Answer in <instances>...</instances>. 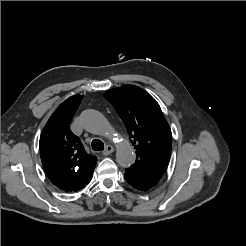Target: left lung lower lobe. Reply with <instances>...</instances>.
Returning <instances> with one entry per match:
<instances>
[{
	"label": "left lung lower lobe",
	"instance_id": "left-lung-lower-lobe-1",
	"mask_svg": "<svg viewBox=\"0 0 246 246\" xmlns=\"http://www.w3.org/2000/svg\"><path fill=\"white\" fill-rule=\"evenodd\" d=\"M124 177L133 188L140 191H147L154 187L158 182L143 172L131 167L125 169Z\"/></svg>",
	"mask_w": 246,
	"mask_h": 246
}]
</instances>
